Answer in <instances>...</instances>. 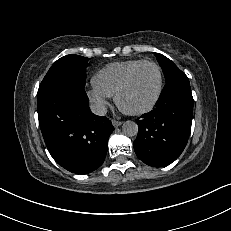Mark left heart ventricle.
<instances>
[{
	"label": "left heart ventricle",
	"instance_id": "left-heart-ventricle-1",
	"mask_svg": "<svg viewBox=\"0 0 231 231\" xmlns=\"http://www.w3.org/2000/svg\"><path fill=\"white\" fill-rule=\"evenodd\" d=\"M158 85L157 70L152 65L142 66L133 76L121 97L122 105L129 110L140 109L153 99Z\"/></svg>",
	"mask_w": 231,
	"mask_h": 231
}]
</instances>
